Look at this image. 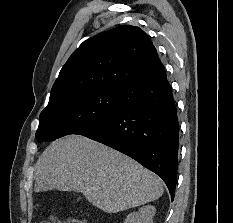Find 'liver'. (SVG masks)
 Listing matches in <instances>:
<instances>
[{
    "mask_svg": "<svg viewBox=\"0 0 233 223\" xmlns=\"http://www.w3.org/2000/svg\"><path fill=\"white\" fill-rule=\"evenodd\" d=\"M34 191H80L107 213L161 197L160 177L128 155L103 143L66 135L52 141L35 165Z\"/></svg>",
    "mask_w": 233,
    "mask_h": 223,
    "instance_id": "liver-1",
    "label": "liver"
}]
</instances>
